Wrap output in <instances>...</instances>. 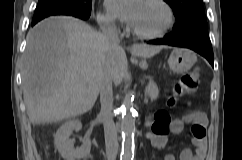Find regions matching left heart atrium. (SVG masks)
Returning <instances> with one entry per match:
<instances>
[{"label":"left heart atrium","mask_w":242,"mask_h":160,"mask_svg":"<svg viewBox=\"0 0 242 160\" xmlns=\"http://www.w3.org/2000/svg\"><path fill=\"white\" fill-rule=\"evenodd\" d=\"M142 0H106L109 12L120 20L132 24Z\"/></svg>","instance_id":"obj_1"}]
</instances>
